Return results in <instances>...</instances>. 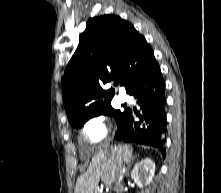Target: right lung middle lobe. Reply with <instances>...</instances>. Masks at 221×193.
<instances>
[{
	"label": "right lung middle lobe",
	"instance_id": "right-lung-middle-lobe-1",
	"mask_svg": "<svg viewBox=\"0 0 221 193\" xmlns=\"http://www.w3.org/2000/svg\"><path fill=\"white\" fill-rule=\"evenodd\" d=\"M126 112L127 110H124V111H120V110H116V109H113L111 107L110 104H108L107 106L103 107V108H100L96 111H93L91 113H87L85 115H81L79 116L78 118L74 119L71 124L76 127V128H79V127H82L84 125V123L89 120L90 118L92 117H95V116H99V115H111V116H114V118L116 119V122H117V125H118V129L122 126L123 124V121L125 119V115H126Z\"/></svg>",
	"mask_w": 221,
	"mask_h": 193
}]
</instances>
